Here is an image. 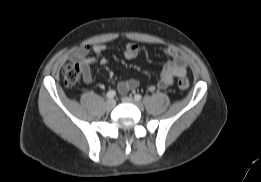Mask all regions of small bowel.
<instances>
[{
  "label": "small bowel",
  "mask_w": 261,
  "mask_h": 182,
  "mask_svg": "<svg viewBox=\"0 0 261 182\" xmlns=\"http://www.w3.org/2000/svg\"><path fill=\"white\" fill-rule=\"evenodd\" d=\"M107 47L104 44L84 45L76 50L70 56V61L79 65L85 84H91L93 77L91 74V65L95 62L105 64L107 58L103 55ZM140 47L135 42H130L125 46L124 57L128 60L135 59L139 54ZM92 53V55H90ZM164 53L169 60L164 64L163 69L159 76L157 86L149 85L148 90L154 91L156 87L166 88L173 84L174 77L185 76L187 73V59L179 53L174 47H167ZM139 82L136 79H127L117 83V89L121 94L129 90L136 89Z\"/></svg>",
  "instance_id": "small-bowel-1"
}]
</instances>
